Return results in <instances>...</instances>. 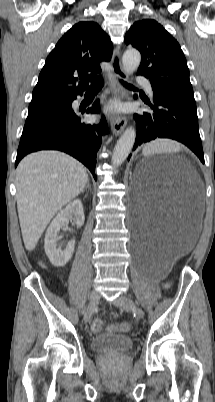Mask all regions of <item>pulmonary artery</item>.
Returning a JSON list of instances; mask_svg holds the SVG:
<instances>
[{
    "label": "pulmonary artery",
    "instance_id": "pulmonary-artery-1",
    "mask_svg": "<svg viewBox=\"0 0 215 402\" xmlns=\"http://www.w3.org/2000/svg\"><path fill=\"white\" fill-rule=\"evenodd\" d=\"M137 82L142 84V85H144L146 90H147V92L150 95H152V93H153L152 86H151L150 82L147 79H145L144 77H138Z\"/></svg>",
    "mask_w": 215,
    "mask_h": 402
}]
</instances>
